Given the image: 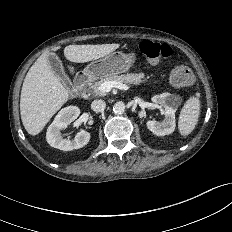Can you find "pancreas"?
<instances>
[{
  "mask_svg": "<svg viewBox=\"0 0 232 232\" xmlns=\"http://www.w3.org/2000/svg\"><path fill=\"white\" fill-rule=\"evenodd\" d=\"M144 73H138V74H125V75H110L106 76L100 81H97L95 83L90 84V88L92 89V94L94 96H105L106 92H103L99 89L102 83L108 82V81H117V82H123L127 84H135L138 85L142 82H144Z\"/></svg>",
  "mask_w": 232,
  "mask_h": 232,
  "instance_id": "cf45deb5",
  "label": "pancreas"
}]
</instances>
